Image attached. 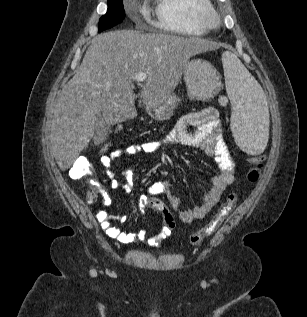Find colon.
I'll use <instances>...</instances> for the list:
<instances>
[{
    "mask_svg": "<svg viewBox=\"0 0 307 317\" xmlns=\"http://www.w3.org/2000/svg\"><path fill=\"white\" fill-rule=\"evenodd\" d=\"M117 130H120V127H118ZM114 150L116 149H113V145L110 142H107L101 145L99 148V154L101 156L108 155ZM265 159L266 158L264 156H255L248 159V162L251 165L249 171L247 172L248 181L257 182L259 180ZM70 175L74 179H82L94 182V169L86 158H79L75 161L70 170ZM87 198L91 201L95 200L96 193L94 191L88 192ZM237 201L238 195L235 192L229 193L226 197V200L220 205L218 211L210 219V221L204 227L194 232L190 236V243L193 245H198L205 238L215 233L229 213L236 206ZM149 205L162 214L163 222L166 228L172 230L175 227L176 222L174 216L167 210L161 200L154 197L150 198Z\"/></svg>",
    "mask_w": 307,
    "mask_h": 317,
    "instance_id": "5ec220e1",
    "label": "colon"
}]
</instances>
